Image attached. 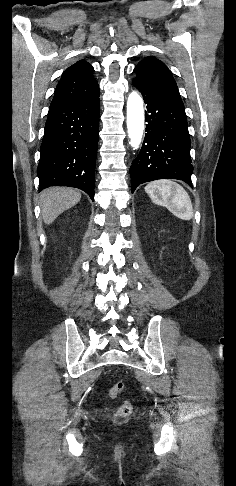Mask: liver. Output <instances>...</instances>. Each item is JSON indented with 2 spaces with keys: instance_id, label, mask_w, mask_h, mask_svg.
Wrapping results in <instances>:
<instances>
[{
  "instance_id": "obj_1",
  "label": "liver",
  "mask_w": 236,
  "mask_h": 486,
  "mask_svg": "<svg viewBox=\"0 0 236 486\" xmlns=\"http://www.w3.org/2000/svg\"><path fill=\"white\" fill-rule=\"evenodd\" d=\"M81 193L66 187H52L40 195L41 214L45 224H51L61 213L76 205Z\"/></svg>"
}]
</instances>
